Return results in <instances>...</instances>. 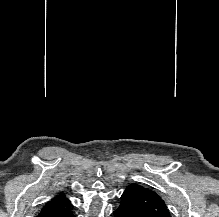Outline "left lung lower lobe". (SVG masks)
Here are the masks:
<instances>
[{
  "mask_svg": "<svg viewBox=\"0 0 219 217\" xmlns=\"http://www.w3.org/2000/svg\"><path fill=\"white\" fill-rule=\"evenodd\" d=\"M114 216L115 217H134L126 207L124 206H119L115 211H114Z\"/></svg>",
  "mask_w": 219,
  "mask_h": 217,
  "instance_id": "obj_1",
  "label": "left lung lower lobe"
}]
</instances>
